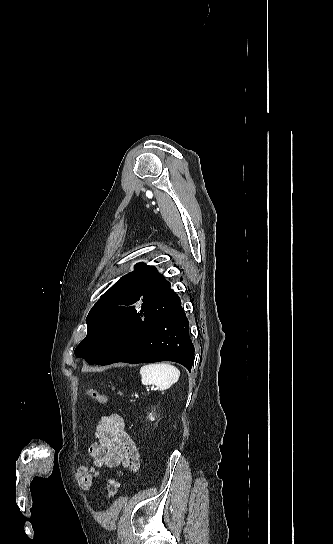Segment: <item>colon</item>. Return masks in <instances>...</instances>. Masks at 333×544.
<instances>
[{"label": "colon", "instance_id": "obj_1", "mask_svg": "<svg viewBox=\"0 0 333 544\" xmlns=\"http://www.w3.org/2000/svg\"><path fill=\"white\" fill-rule=\"evenodd\" d=\"M86 395L90 396L91 398H93L94 400L98 401L99 403L101 404H107L108 403V399L107 397L102 394L101 392H99L98 390L96 389H93V388H89L87 390H85L84 392ZM119 488H120V483H119V480L117 477H111L108 479L107 481V493H108V496L110 498L116 496L119 492Z\"/></svg>", "mask_w": 333, "mask_h": 544}]
</instances>
